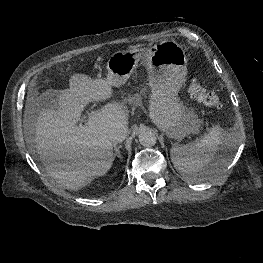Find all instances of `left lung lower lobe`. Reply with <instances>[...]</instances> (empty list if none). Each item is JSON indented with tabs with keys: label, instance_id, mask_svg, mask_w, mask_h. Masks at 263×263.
Returning a JSON list of instances; mask_svg holds the SVG:
<instances>
[{
	"label": "left lung lower lobe",
	"instance_id": "left-lung-lower-lobe-1",
	"mask_svg": "<svg viewBox=\"0 0 263 263\" xmlns=\"http://www.w3.org/2000/svg\"><path fill=\"white\" fill-rule=\"evenodd\" d=\"M214 168H215V164H214V166H212L211 168L207 169L206 172H211V171L214 170Z\"/></svg>",
	"mask_w": 263,
	"mask_h": 263
}]
</instances>
